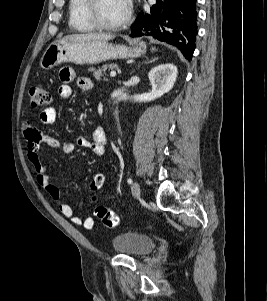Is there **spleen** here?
Masks as SVG:
<instances>
[{
	"label": "spleen",
	"mask_w": 267,
	"mask_h": 301,
	"mask_svg": "<svg viewBox=\"0 0 267 301\" xmlns=\"http://www.w3.org/2000/svg\"><path fill=\"white\" fill-rule=\"evenodd\" d=\"M152 51H156V49H155V48H152Z\"/></svg>",
	"instance_id": "obj_1"
}]
</instances>
